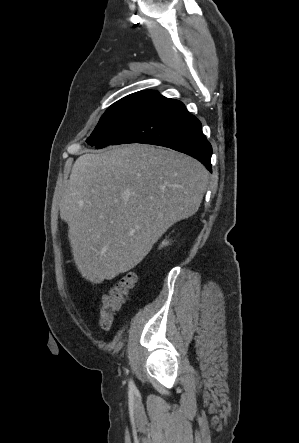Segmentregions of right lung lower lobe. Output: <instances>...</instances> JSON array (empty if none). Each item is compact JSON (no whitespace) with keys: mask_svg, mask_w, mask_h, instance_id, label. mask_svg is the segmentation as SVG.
<instances>
[{"mask_svg":"<svg viewBox=\"0 0 299 443\" xmlns=\"http://www.w3.org/2000/svg\"><path fill=\"white\" fill-rule=\"evenodd\" d=\"M126 143L174 149L198 159L211 172V144L202 133L200 121L178 100L158 97L110 145Z\"/></svg>","mask_w":299,"mask_h":443,"instance_id":"98d812e1","label":"right lung lower lobe"}]
</instances>
